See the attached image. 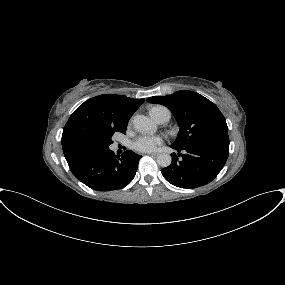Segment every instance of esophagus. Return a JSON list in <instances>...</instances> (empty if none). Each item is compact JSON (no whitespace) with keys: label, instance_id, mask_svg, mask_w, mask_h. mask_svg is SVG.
Returning a JSON list of instances; mask_svg holds the SVG:
<instances>
[{"label":"esophagus","instance_id":"1","mask_svg":"<svg viewBox=\"0 0 285 285\" xmlns=\"http://www.w3.org/2000/svg\"><path fill=\"white\" fill-rule=\"evenodd\" d=\"M149 156H158V153H148Z\"/></svg>","mask_w":285,"mask_h":285}]
</instances>
